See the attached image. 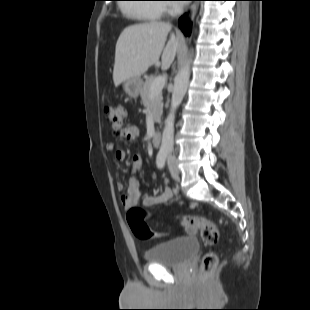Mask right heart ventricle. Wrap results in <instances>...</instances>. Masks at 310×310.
Returning a JSON list of instances; mask_svg holds the SVG:
<instances>
[{"label": "right heart ventricle", "instance_id": "1", "mask_svg": "<svg viewBox=\"0 0 310 310\" xmlns=\"http://www.w3.org/2000/svg\"><path fill=\"white\" fill-rule=\"evenodd\" d=\"M160 7L161 6H158L156 4H137L130 7H126L125 10L127 14L141 21H153L161 16L162 9Z\"/></svg>", "mask_w": 310, "mask_h": 310}]
</instances>
